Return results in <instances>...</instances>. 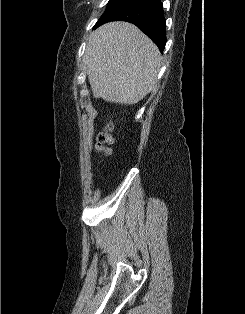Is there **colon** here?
<instances>
[{"label":"colon","instance_id":"obj_1","mask_svg":"<svg viewBox=\"0 0 245 314\" xmlns=\"http://www.w3.org/2000/svg\"><path fill=\"white\" fill-rule=\"evenodd\" d=\"M113 124L110 120L104 123L103 130L99 133L97 138V150L105 156L111 154L110 145L113 142L112 137Z\"/></svg>","mask_w":245,"mask_h":314}]
</instances>
